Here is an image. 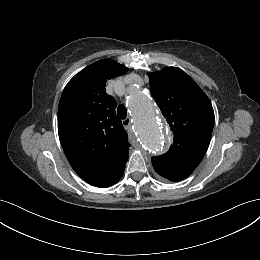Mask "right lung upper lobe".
Listing matches in <instances>:
<instances>
[{"mask_svg":"<svg viewBox=\"0 0 260 260\" xmlns=\"http://www.w3.org/2000/svg\"><path fill=\"white\" fill-rule=\"evenodd\" d=\"M128 71L109 59L77 73L63 90L58 107V133L74 171L88 184L109 187L123 175L130 144L116 101L105 91L107 80Z\"/></svg>","mask_w":260,"mask_h":260,"instance_id":"obj_1","label":"right lung upper lobe"}]
</instances>
